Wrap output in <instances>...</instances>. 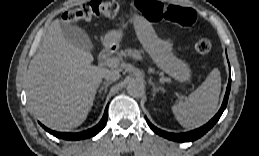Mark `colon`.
<instances>
[{
  "label": "colon",
  "instance_id": "colon-1",
  "mask_svg": "<svg viewBox=\"0 0 259 156\" xmlns=\"http://www.w3.org/2000/svg\"><path fill=\"white\" fill-rule=\"evenodd\" d=\"M137 7L152 22L166 20L183 28H191L197 20L194 10L187 7L177 5L167 6L153 0H138ZM120 9L119 3L114 0H93L79 7L69 9L65 12L63 18L69 23H76L97 17L112 18L119 14ZM195 50L201 56L207 55L211 50L210 40L206 37L200 38L195 44Z\"/></svg>",
  "mask_w": 259,
  "mask_h": 156
}]
</instances>
